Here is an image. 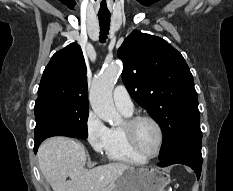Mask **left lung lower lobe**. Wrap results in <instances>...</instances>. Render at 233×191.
Instances as JSON below:
<instances>
[{
    "instance_id": "obj_1",
    "label": "left lung lower lobe",
    "mask_w": 233,
    "mask_h": 191,
    "mask_svg": "<svg viewBox=\"0 0 233 191\" xmlns=\"http://www.w3.org/2000/svg\"><path fill=\"white\" fill-rule=\"evenodd\" d=\"M201 146L202 139L187 140L161 160L159 166L166 167L176 163L184 164L191 167L195 171L197 179H199L202 169Z\"/></svg>"
}]
</instances>
